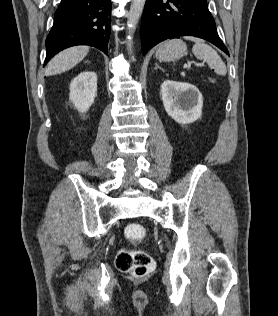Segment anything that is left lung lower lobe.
I'll return each mask as SVG.
<instances>
[{
    "label": "left lung lower lobe",
    "instance_id": "1",
    "mask_svg": "<svg viewBox=\"0 0 278 316\" xmlns=\"http://www.w3.org/2000/svg\"><path fill=\"white\" fill-rule=\"evenodd\" d=\"M195 36L227 55L206 0H146L141 22L142 53L168 38Z\"/></svg>",
    "mask_w": 278,
    "mask_h": 316
}]
</instances>
